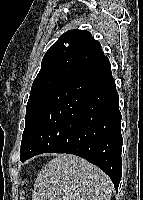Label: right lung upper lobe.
Returning a JSON list of instances; mask_svg holds the SVG:
<instances>
[{
  "label": "right lung upper lobe",
  "mask_w": 143,
  "mask_h": 200,
  "mask_svg": "<svg viewBox=\"0 0 143 200\" xmlns=\"http://www.w3.org/2000/svg\"><path fill=\"white\" fill-rule=\"evenodd\" d=\"M104 57L100 43L90 32L78 29L67 31L44 55L34 81L55 75L69 76Z\"/></svg>",
  "instance_id": "right-lung-upper-lobe-1"
}]
</instances>
